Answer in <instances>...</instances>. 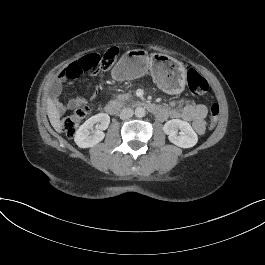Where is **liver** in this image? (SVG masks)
Here are the masks:
<instances>
[{
  "instance_id": "liver-1",
  "label": "liver",
  "mask_w": 265,
  "mask_h": 265,
  "mask_svg": "<svg viewBox=\"0 0 265 265\" xmlns=\"http://www.w3.org/2000/svg\"><path fill=\"white\" fill-rule=\"evenodd\" d=\"M47 114L50 120V123L54 130L58 133H62V123L60 119V110L56 107L54 100L50 97L47 99Z\"/></svg>"
}]
</instances>
